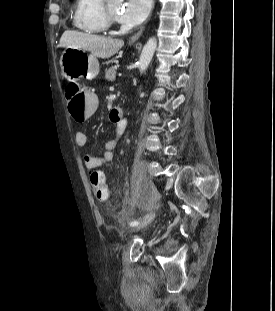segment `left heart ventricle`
Returning <instances> with one entry per match:
<instances>
[{
	"label": "left heart ventricle",
	"mask_w": 275,
	"mask_h": 311,
	"mask_svg": "<svg viewBox=\"0 0 275 311\" xmlns=\"http://www.w3.org/2000/svg\"><path fill=\"white\" fill-rule=\"evenodd\" d=\"M108 8L113 15L119 14L120 10L122 9V5L119 2H108Z\"/></svg>",
	"instance_id": "left-heart-ventricle-1"
}]
</instances>
